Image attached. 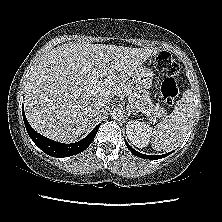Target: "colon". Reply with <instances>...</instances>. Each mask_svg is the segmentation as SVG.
<instances>
[{
    "label": "colon",
    "mask_w": 222,
    "mask_h": 222,
    "mask_svg": "<svg viewBox=\"0 0 222 222\" xmlns=\"http://www.w3.org/2000/svg\"><path fill=\"white\" fill-rule=\"evenodd\" d=\"M156 68L165 78L161 84V94L167 105L174 104L179 94L175 77L180 73V65L167 52H161L155 59Z\"/></svg>",
    "instance_id": "1"
}]
</instances>
